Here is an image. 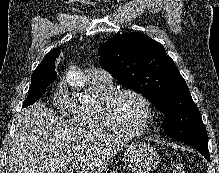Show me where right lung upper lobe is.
<instances>
[{"label": "right lung upper lobe", "instance_id": "right-lung-upper-lobe-1", "mask_svg": "<svg viewBox=\"0 0 219 173\" xmlns=\"http://www.w3.org/2000/svg\"><path fill=\"white\" fill-rule=\"evenodd\" d=\"M60 50L53 49L51 50L42 60V62L38 65V67L34 70L35 72L44 71L50 74L57 75L55 72V59L59 56Z\"/></svg>", "mask_w": 219, "mask_h": 173}]
</instances>
